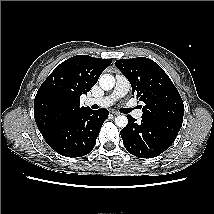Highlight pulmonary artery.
Instances as JSON below:
<instances>
[{
	"label": "pulmonary artery",
	"mask_w": 214,
	"mask_h": 214,
	"mask_svg": "<svg viewBox=\"0 0 214 214\" xmlns=\"http://www.w3.org/2000/svg\"><path fill=\"white\" fill-rule=\"evenodd\" d=\"M129 88L130 83L128 79L122 74H117L115 87L111 94L98 98H89L87 103L97 104L101 107H108L112 105L117 99L124 97L128 93ZM132 115L136 119L140 120L142 118L143 111L141 109H134L132 110Z\"/></svg>",
	"instance_id": "1"
}]
</instances>
